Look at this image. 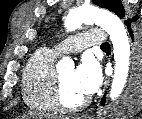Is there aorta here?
Masks as SVG:
<instances>
[{
  "mask_svg": "<svg viewBox=\"0 0 142 119\" xmlns=\"http://www.w3.org/2000/svg\"><path fill=\"white\" fill-rule=\"evenodd\" d=\"M82 23H97L110 36L115 59V71L110 90V98L115 99L122 93L129 72L130 44L127 31L117 16L106 10L92 6H81L69 10L65 20L67 31L78 29ZM69 66H73V61L68 57L63 58L58 63L59 68Z\"/></svg>",
  "mask_w": 142,
  "mask_h": 119,
  "instance_id": "obj_1",
  "label": "aorta"
}]
</instances>
